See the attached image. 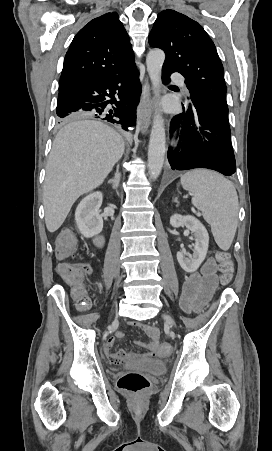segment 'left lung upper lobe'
I'll return each instance as SVG.
<instances>
[{"label":"left lung upper lobe","instance_id":"1","mask_svg":"<svg viewBox=\"0 0 272 451\" xmlns=\"http://www.w3.org/2000/svg\"><path fill=\"white\" fill-rule=\"evenodd\" d=\"M149 44L166 53L163 64L181 73L190 98L228 118L223 65L215 45L199 23L177 11L158 14L149 34ZM193 108V104L188 110Z\"/></svg>","mask_w":272,"mask_h":451}]
</instances>
